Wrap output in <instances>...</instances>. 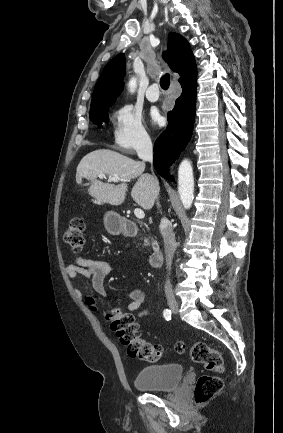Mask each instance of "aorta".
Masks as SVG:
<instances>
[{"instance_id":"1","label":"aorta","mask_w":283,"mask_h":433,"mask_svg":"<svg viewBox=\"0 0 283 433\" xmlns=\"http://www.w3.org/2000/svg\"><path fill=\"white\" fill-rule=\"evenodd\" d=\"M128 87L133 93L137 87V79L131 78ZM178 191L184 208L189 209L194 198V177L192 165L187 159L181 162L178 169Z\"/></svg>"}]
</instances>
